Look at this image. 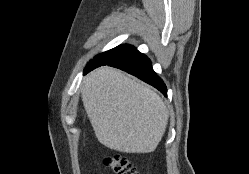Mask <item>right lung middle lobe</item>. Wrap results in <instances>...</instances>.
Instances as JSON below:
<instances>
[{
  "mask_svg": "<svg viewBox=\"0 0 249 174\" xmlns=\"http://www.w3.org/2000/svg\"><path fill=\"white\" fill-rule=\"evenodd\" d=\"M135 47L131 46V45H120L117 46L109 51H106L104 53H101L99 55H97L89 64H95L98 62H102V61H114L117 60L119 58H121L123 55H125L128 52H131L132 50H134Z\"/></svg>",
  "mask_w": 249,
  "mask_h": 174,
  "instance_id": "1",
  "label": "right lung middle lobe"
}]
</instances>
